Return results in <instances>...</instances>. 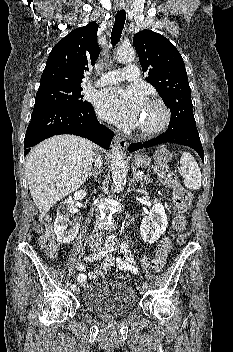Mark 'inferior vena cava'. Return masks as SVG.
Segmentation results:
<instances>
[{"label":"inferior vena cava","mask_w":233,"mask_h":352,"mask_svg":"<svg viewBox=\"0 0 233 352\" xmlns=\"http://www.w3.org/2000/svg\"><path fill=\"white\" fill-rule=\"evenodd\" d=\"M95 166L97 169H99L102 166V161L100 159L99 155H95ZM102 233L96 231L95 233H93L90 237V244L93 246H99L101 245L102 242Z\"/></svg>","instance_id":"1"}]
</instances>
